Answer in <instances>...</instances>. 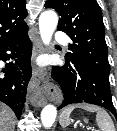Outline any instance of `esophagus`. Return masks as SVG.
<instances>
[{
  "instance_id": "1",
  "label": "esophagus",
  "mask_w": 117,
  "mask_h": 131,
  "mask_svg": "<svg viewBox=\"0 0 117 131\" xmlns=\"http://www.w3.org/2000/svg\"><path fill=\"white\" fill-rule=\"evenodd\" d=\"M43 51H44L43 45L41 41L37 39L32 55V63H33L32 82L34 84V88L32 90L31 97V101L36 106H43L44 104H46L47 99L49 97H55L59 93L58 88L48 81L47 73L39 69L35 64L37 56L43 53Z\"/></svg>"
}]
</instances>
